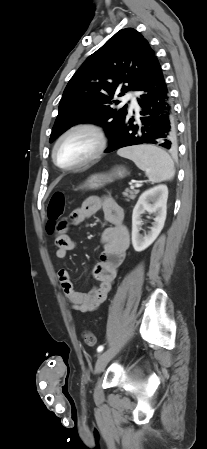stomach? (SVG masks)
<instances>
[{
	"label": "stomach",
	"instance_id": "1",
	"mask_svg": "<svg viewBox=\"0 0 207 449\" xmlns=\"http://www.w3.org/2000/svg\"><path fill=\"white\" fill-rule=\"evenodd\" d=\"M128 174L124 167H116L108 173H97L89 176L79 187L82 190H97L116 179H123Z\"/></svg>",
	"mask_w": 207,
	"mask_h": 449
}]
</instances>
